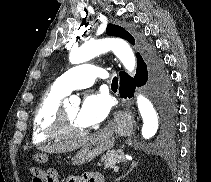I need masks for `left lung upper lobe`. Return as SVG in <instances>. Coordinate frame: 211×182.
Segmentation results:
<instances>
[{"label":"left lung upper lobe","instance_id":"5c2ea615","mask_svg":"<svg viewBox=\"0 0 211 182\" xmlns=\"http://www.w3.org/2000/svg\"><path fill=\"white\" fill-rule=\"evenodd\" d=\"M106 33L109 36H116V37H120L123 38L127 41H129L131 44H135V39L133 38V36L128 33L124 28L118 26V25H113V24H108L107 28H106ZM172 107H170L168 109V116H170L172 114Z\"/></svg>","mask_w":211,"mask_h":182}]
</instances>
